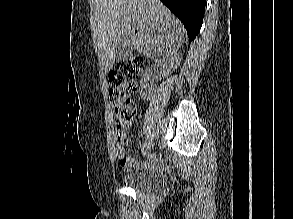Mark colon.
<instances>
[{
    "label": "colon",
    "mask_w": 293,
    "mask_h": 219,
    "mask_svg": "<svg viewBox=\"0 0 293 219\" xmlns=\"http://www.w3.org/2000/svg\"><path fill=\"white\" fill-rule=\"evenodd\" d=\"M144 60L133 55L120 61L109 72L110 98L117 116V127L124 130L131 126L136 118L134 96L137 92L136 79L144 68Z\"/></svg>",
    "instance_id": "colon-1"
}]
</instances>
